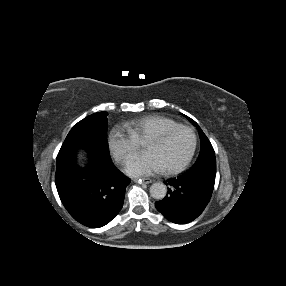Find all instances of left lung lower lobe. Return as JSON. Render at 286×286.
<instances>
[{
	"label": "left lung lower lobe",
	"instance_id": "1",
	"mask_svg": "<svg viewBox=\"0 0 286 286\" xmlns=\"http://www.w3.org/2000/svg\"><path fill=\"white\" fill-rule=\"evenodd\" d=\"M216 160L193 166L176 178L165 181L168 193L157 201V210L169 221L185 224L196 219L207 206L215 183Z\"/></svg>",
	"mask_w": 286,
	"mask_h": 286
}]
</instances>
